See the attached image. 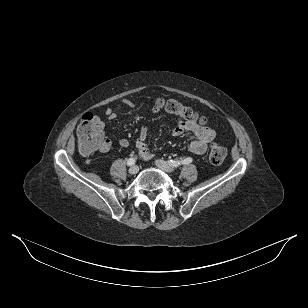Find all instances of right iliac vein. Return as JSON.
Returning <instances> with one entry per match:
<instances>
[{
  "instance_id": "obj_1",
  "label": "right iliac vein",
  "mask_w": 308,
  "mask_h": 308,
  "mask_svg": "<svg viewBox=\"0 0 308 308\" xmlns=\"http://www.w3.org/2000/svg\"><path fill=\"white\" fill-rule=\"evenodd\" d=\"M138 171H139V167H138L137 165H134V166H132V167L129 168V173H130L131 175L137 174Z\"/></svg>"
}]
</instances>
